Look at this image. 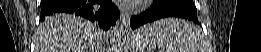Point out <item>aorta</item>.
Here are the masks:
<instances>
[{"label": "aorta", "mask_w": 261, "mask_h": 52, "mask_svg": "<svg viewBox=\"0 0 261 52\" xmlns=\"http://www.w3.org/2000/svg\"><path fill=\"white\" fill-rule=\"evenodd\" d=\"M127 33V27L123 24H117L111 33V42L113 44L114 50L118 51L123 49L125 43V35Z\"/></svg>", "instance_id": "1"}]
</instances>
